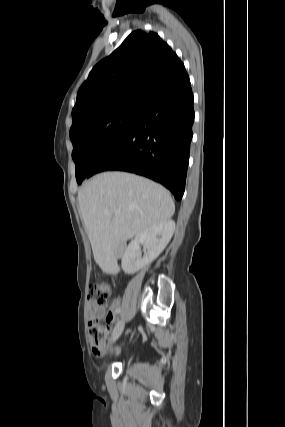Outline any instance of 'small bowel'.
I'll return each instance as SVG.
<instances>
[{
    "mask_svg": "<svg viewBox=\"0 0 285 427\" xmlns=\"http://www.w3.org/2000/svg\"><path fill=\"white\" fill-rule=\"evenodd\" d=\"M120 301L118 299H115L111 306L109 311H106V307L104 304H98L96 302H90L89 303V309H88V319L89 321H95V320H101L103 318H106V320L109 323H114L116 320V313L119 309ZM94 351V350H93ZM95 354H99L94 351Z\"/></svg>",
    "mask_w": 285,
    "mask_h": 427,
    "instance_id": "c3829d8e",
    "label": "small bowel"
}]
</instances>
